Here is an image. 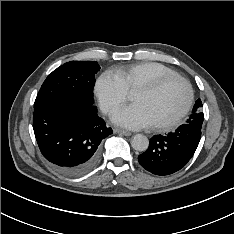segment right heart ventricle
Listing matches in <instances>:
<instances>
[{"mask_svg": "<svg viewBox=\"0 0 234 234\" xmlns=\"http://www.w3.org/2000/svg\"><path fill=\"white\" fill-rule=\"evenodd\" d=\"M115 74L124 84L127 92H134L142 85L149 84L159 78L177 73L160 63L143 62L116 69Z\"/></svg>", "mask_w": 234, "mask_h": 234, "instance_id": "obj_1", "label": "right heart ventricle"}]
</instances>
